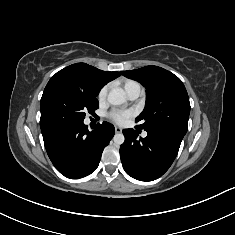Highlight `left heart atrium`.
I'll use <instances>...</instances> for the list:
<instances>
[{"instance_id":"39dd6f15","label":"left heart atrium","mask_w":235,"mask_h":235,"mask_svg":"<svg viewBox=\"0 0 235 235\" xmlns=\"http://www.w3.org/2000/svg\"><path fill=\"white\" fill-rule=\"evenodd\" d=\"M109 118L117 124H125L132 116V112L127 110L115 109L109 113Z\"/></svg>"}]
</instances>
